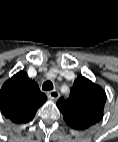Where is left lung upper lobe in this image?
<instances>
[{
    "mask_svg": "<svg viewBox=\"0 0 118 142\" xmlns=\"http://www.w3.org/2000/svg\"><path fill=\"white\" fill-rule=\"evenodd\" d=\"M105 102L103 88L81 75L76 78L70 97L60 98L57 107L71 128L85 130L103 118Z\"/></svg>",
    "mask_w": 118,
    "mask_h": 142,
    "instance_id": "1",
    "label": "left lung upper lobe"
}]
</instances>
